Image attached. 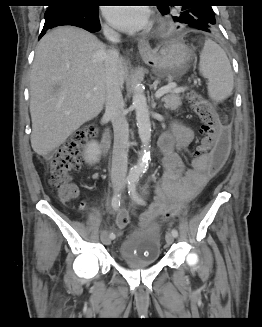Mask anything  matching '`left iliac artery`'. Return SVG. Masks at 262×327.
<instances>
[{
  "label": "left iliac artery",
  "mask_w": 262,
  "mask_h": 327,
  "mask_svg": "<svg viewBox=\"0 0 262 327\" xmlns=\"http://www.w3.org/2000/svg\"><path fill=\"white\" fill-rule=\"evenodd\" d=\"M138 183V179H132L128 185V193L129 195L132 197V199L134 201H136L138 204H145L144 200L138 195L137 191H136V185ZM172 235L174 237H177L178 236V231L176 229H173L172 230Z\"/></svg>",
  "instance_id": "1"
}]
</instances>
